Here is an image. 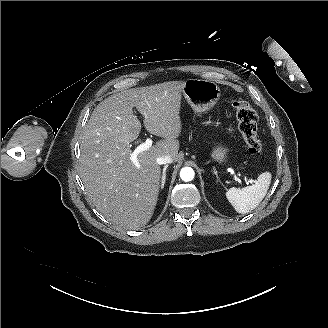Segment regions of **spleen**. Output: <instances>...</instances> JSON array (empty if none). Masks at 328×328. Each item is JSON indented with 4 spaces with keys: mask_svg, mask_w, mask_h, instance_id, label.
<instances>
[{
    "mask_svg": "<svg viewBox=\"0 0 328 328\" xmlns=\"http://www.w3.org/2000/svg\"><path fill=\"white\" fill-rule=\"evenodd\" d=\"M271 182V173L262 172L256 183L244 189L232 187L225 193L227 200L237 213L246 214L255 209L266 196Z\"/></svg>",
    "mask_w": 328,
    "mask_h": 328,
    "instance_id": "3e777b00",
    "label": "spleen"
}]
</instances>
